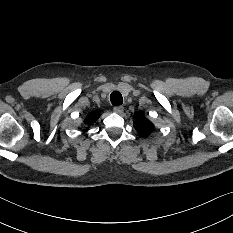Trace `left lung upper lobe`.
Segmentation results:
<instances>
[{"instance_id":"left-lung-upper-lobe-1","label":"left lung upper lobe","mask_w":233,"mask_h":233,"mask_svg":"<svg viewBox=\"0 0 233 233\" xmlns=\"http://www.w3.org/2000/svg\"><path fill=\"white\" fill-rule=\"evenodd\" d=\"M135 129L142 135L148 136L154 129V125L144 116H137L134 120Z\"/></svg>"}]
</instances>
